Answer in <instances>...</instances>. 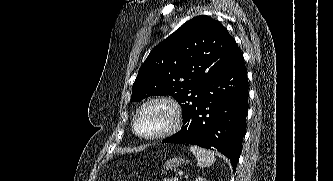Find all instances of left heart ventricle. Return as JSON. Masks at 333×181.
Wrapping results in <instances>:
<instances>
[{
	"instance_id": "left-heart-ventricle-1",
	"label": "left heart ventricle",
	"mask_w": 333,
	"mask_h": 181,
	"mask_svg": "<svg viewBox=\"0 0 333 181\" xmlns=\"http://www.w3.org/2000/svg\"><path fill=\"white\" fill-rule=\"evenodd\" d=\"M171 120L172 114L167 106L154 104L141 112L136 122V128L141 135L150 136L165 130Z\"/></svg>"
}]
</instances>
